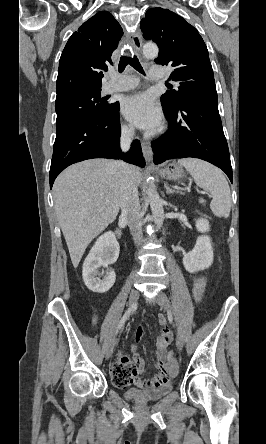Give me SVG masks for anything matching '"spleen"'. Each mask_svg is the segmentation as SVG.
I'll return each instance as SVG.
<instances>
[{"instance_id": "3e777b00", "label": "spleen", "mask_w": 266, "mask_h": 444, "mask_svg": "<svg viewBox=\"0 0 266 444\" xmlns=\"http://www.w3.org/2000/svg\"><path fill=\"white\" fill-rule=\"evenodd\" d=\"M178 164L190 172L195 183L212 195L210 208L214 215L227 218L231 209V194L223 172L197 158H182Z\"/></svg>"}]
</instances>
